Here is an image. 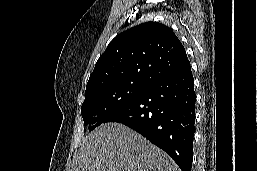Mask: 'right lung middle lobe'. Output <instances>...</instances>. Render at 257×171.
Segmentation results:
<instances>
[{
    "instance_id": "obj_1",
    "label": "right lung middle lobe",
    "mask_w": 257,
    "mask_h": 171,
    "mask_svg": "<svg viewBox=\"0 0 257 171\" xmlns=\"http://www.w3.org/2000/svg\"><path fill=\"white\" fill-rule=\"evenodd\" d=\"M147 86L143 83H115L86 91L81 107L84 124H90L89 131L93 130L126 106Z\"/></svg>"
}]
</instances>
